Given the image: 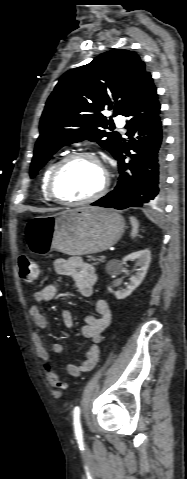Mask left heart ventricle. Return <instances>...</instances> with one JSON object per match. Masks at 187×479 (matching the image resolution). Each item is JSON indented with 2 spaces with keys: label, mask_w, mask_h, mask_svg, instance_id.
Instances as JSON below:
<instances>
[{
  "label": "left heart ventricle",
  "mask_w": 187,
  "mask_h": 479,
  "mask_svg": "<svg viewBox=\"0 0 187 479\" xmlns=\"http://www.w3.org/2000/svg\"><path fill=\"white\" fill-rule=\"evenodd\" d=\"M104 170L94 160L77 159L67 164L56 180L57 193L66 199H83L93 195L104 181Z\"/></svg>",
  "instance_id": "obj_1"
}]
</instances>
